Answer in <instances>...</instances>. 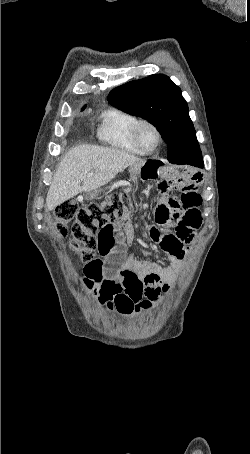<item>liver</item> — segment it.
I'll return each instance as SVG.
<instances>
[{
  "instance_id": "obj_1",
  "label": "liver",
  "mask_w": 250,
  "mask_h": 454,
  "mask_svg": "<svg viewBox=\"0 0 250 454\" xmlns=\"http://www.w3.org/2000/svg\"><path fill=\"white\" fill-rule=\"evenodd\" d=\"M144 160L119 149L80 145L66 153L54 174L46 207L53 210L70 198L96 190L129 166H140ZM92 173L91 176H87ZM82 183V185H81Z\"/></svg>"
}]
</instances>
